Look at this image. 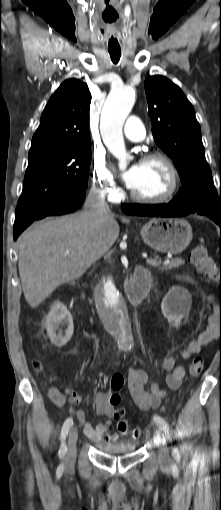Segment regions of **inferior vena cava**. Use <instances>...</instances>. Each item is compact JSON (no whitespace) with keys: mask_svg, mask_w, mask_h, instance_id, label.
Segmentation results:
<instances>
[{"mask_svg":"<svg viewBox=\"0 0 221 510\" xmlns=\"http://www.w3.org/2000/svg\"><path fill=\"white\" fill-rule=\"evenodd\" d=\"M85 209L94 212L99 219L108 216L110 209L105 200V194L97 188H91L85 201Z\"/></svg>","mask_w":221,"mask_h":510,"instance_id":"1","label":"inferior vena cava"}]
</instances>
